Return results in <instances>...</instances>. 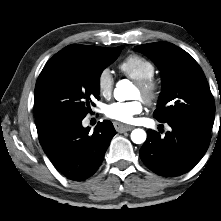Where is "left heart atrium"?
I'll return each mask as SVG.
<instances>
[{"label":"left heart atrium","mask_w":221,"mask_h":221,"mask_svg":"<svg viewBox=\"0 0 221 221\" xmlns=\"http://www.w3.org/2000/svg\"><path fill=\"white\" fill-rule=\"evenodd\" d=\"M142 111L143 105L139 100L114 102L105 108L107 117L124 123L132 122L134 117Z\"/></svg>","instance_id":"39dd6f15"}]
</instances>
